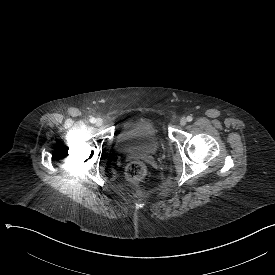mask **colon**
<instances>
[{
  "mask_svg": "<svg viewBox=\"0 0 275 275\" xmlns=\"http://www.w3.org/2000/svg\"><path fill=\"white\" fill-rule=\"evenodd\" d=\"M126 174L129 179L140 181L147 176V168L142 162H131L127 165Z\"/></svg>",
  "mask_w": 275,
  "mask_h": 275,
  "instance_id": "obj_1",
  "label": "colon"
}]
</instances>
